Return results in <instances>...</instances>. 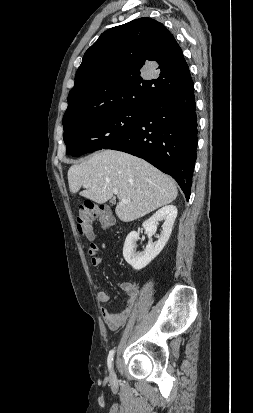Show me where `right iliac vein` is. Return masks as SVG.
I'll return each instance as SVG.
<instances>
[{"label": "right iliac vein", "instance_id": "obj_1", "mask_svg": "<svg viewBox=\"0 0 253 413\" xmlns=\"http://www.w3.org/2000/svg\"><path fill=\"white\" fill-rule=\"evenodd\" d=\"M110 377L113 381L116 379L114 371L111 372Z\"/></svg>", "mask_w": 253, "mask_h": 413}]
</instances>
